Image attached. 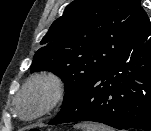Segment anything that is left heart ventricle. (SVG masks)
<instances>
[{"label":"left heart ventricle","mask_w":151,"mask_h":131,"mask_svg":"<svg viewBox=\"0 0 151 131\" xmlns=\"http://www.w3.org/2000/svg\"><path fill=\"white\" fill-rule=\"evenodd\" d=\"M46 99V90L35 88L30 91L21 102V111L28 115L36 111Z\"/></svg>","instance_id":"1"}]
</instances>
